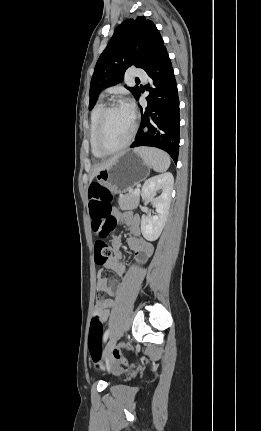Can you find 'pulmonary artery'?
<instances>
[{
  "mask_svg": "<svg viewBox=\"0 0 261 431\" xmlns=\"http://www.w3.org/2000/svg\"><path fill=\"white\" fill-rule=\"evenodd\" d=\"M131 75L133 77H137L141 80H146L147 79V74L144 70L142 69H132L131 70Z\"/></svg>",
  "mask_w": 261,
  "mask_h": 431,
  "instance_id": "pulmonary-artery-1",
  "label": "pulmonary artery"
}]
</instances>
